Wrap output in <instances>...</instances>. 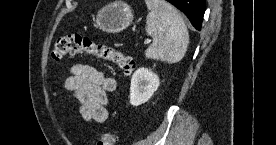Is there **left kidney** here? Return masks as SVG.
Listing matches in <instances>:
<instances>
[{"label":"left kidney","instance_id":"5707ae66","mask_svg":"<svg viewBox=\"0 0 276 145\" xmlns=\"http://www.w3.org/2000/svg\"><path fill=\"white\" fill-rule=\"evenodd\" d=\"M160 85L159 77L150 69L139 68L131 78L130 103L139 106L147 102Z\"/></svg>","mask_w":276,"mask_h":145}]
</instances>
